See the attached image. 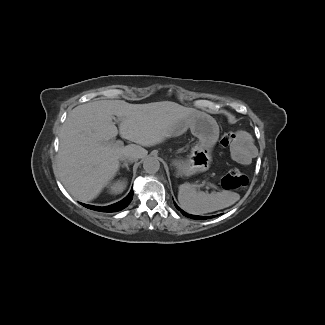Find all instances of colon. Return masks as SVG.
Segmentation results:
<instances>
[{
  "label": "colon",
  "mask_w": 325,
  "mask_h": 325,
  "mask_svg": "<svg viewBox=\"0 0 325 325\" xmlns=\"http://www.w3.org/2000/svg\"><path fill=\"white\" fill-rule=\"evenodd\" d=\"M233 134L226 132L221 136L220 143L227 147L233 140ZM248 183L247 177L238 169L230 170L221 180V185L226 190H239Z\"/></svg>",
  "instance_id": "colon-1"
}]
</instances>
